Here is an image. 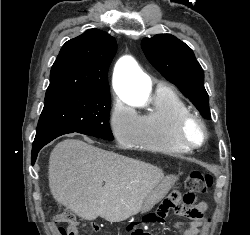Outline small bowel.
I'll list each match as a JSON object with an SVG mask.
<instances>
[{
	"label": "small bowel",
	"instance_id": "obj_1",
	"mask_svg": "<svg viewBox=\"0 0 250 235\" xmlns=\"http://www.w3.org/2000/svg\"><path fill=\"white\" fill-rule=\"evenodd\" d=\"M171 209H172V203L169 201L164 202L159 210L160 220L158 222H162L161 220L166 216V214ZM206 210H207V205L205 202H199L192 208L181 207L176 210L178 214L183 216H188L191 214V212H197L199 214L198 217L193 218L191 223L183 229L182 235H200L201 229L205 224V219L203 218V216ZM96 230H98V228H96ZM140 232L141 231L137 228H130L129 235H139Z\"/></svg>",
	"mask_w": 250,
	"mask_h": 235
}]
</instances>
